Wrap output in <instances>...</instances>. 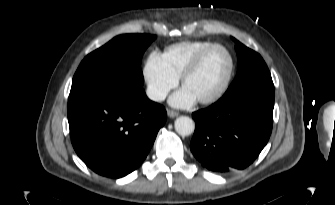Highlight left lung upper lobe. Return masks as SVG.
<instances>
[{
	"mask_svg": "<svg viewBox=\"0 0 335 205\" xmlns=\"http://www.w3.org/2000/svg\"><path fill=\"white\" fill-rule=\"evenodd\" d=\"M232 39L236 43L238 71L225 94L253 89L274 95L271 74L263 58L235 38Z\"/></svg>",
	"mask_w": 335,
	"mask_h": 205,
	"instance_id": "left-lung-upper-lobe-1",
	"label": "left lung upper lobe"
}]
</instances>
